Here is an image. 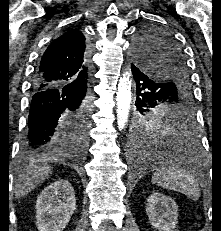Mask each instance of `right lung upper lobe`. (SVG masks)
<instances>
[{"label":"right lung upper lobe","instance_id":"right-lung-upper-lobe-1","mask_svg":"<svg viewBox=\"0 0 221 231\" xmlns=\"http://www.w3.org/2000/svg\"><path fill=\"white\" fill-rule=\"evenodd\" d=\"M91 63L84 35L73 29L55 39L44 52L33 81V90L51 85L85 83Z\"/></svg>","mask_w":221,"mask_h":231}]
</instances>
